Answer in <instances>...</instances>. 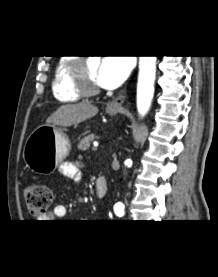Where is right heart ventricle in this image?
Listing matches in <instances>:
<instances>
[{
    "label": "right heart ventricle",
    "mask_w": 218,
    "mask_h": 277,
    "mask_svg": "<svg viewBox=\"0 0 218 277\" xmlns=\"http://www.w3.org/2000/svg\"><path fill=\"white\" fill-rule=\"evenodd\" d=\"M76 62L74 57L60 58L53 70L52 93L60 102H75L81 95L75 90L72 79V67Z\"/></svg>",
    "instance_id": "1"
}]
</instances>
